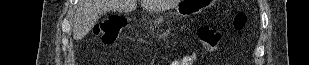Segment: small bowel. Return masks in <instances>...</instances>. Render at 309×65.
I'll return each instance as SVG.
<instances>
[{
    "label": "small bowel",
    "mask_w": 309,
    "mask_h": 65,
    "mask_svg": "<svg viewBox=\"0 0 309 65\" xmlns=\"http://www.w3.org/2000/svg\"><path fill=\"white\" fill-rule=\"evenodd\" d=\"M185 57V56H184ZM175 64H177V65H186V64H181L179 61H175V62H173L171 65H175Z\"/></svg>",
    "instance_id": "c3829d8e"
}]
</instances>
